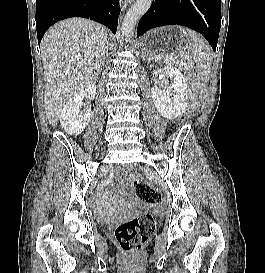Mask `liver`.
<instances>
[{
    "instance_id": "liver-1",
    "label": "liver",
    "mask_w": 265,
    "mask_h": 273,
    "mask_svg": "<svg viewBox=\"0 0 265 273\" xmlns=\"http://www.w3.org/2000/svg\"><path fill=\"white\" fill-rule=\"evenodd\" d=\"M108 43L106 29L84 18L60 21L45 33L41 42L44 104L52 126L67 100L97 79Z\"/></svg>"
}]
</instances>
